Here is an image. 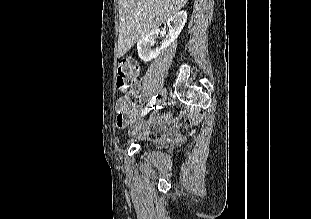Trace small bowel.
<instances>
[{"instance_id":"1","label":"small bowel","mask_w":311,"mask_h":219,"mask_svg":"<svg viewBox=\"0 0 311 219\" xmlns=\"http://www.w3.org/2000/svg\"><path fill=\"white\" fill-rule=\"evenodd\" d=\"M134 91L136 93H139L140 91V84L136 83L134 87ZM139 105L137 103H130L128 105L122 104L120 101L117 103L116 107V125L120 129L126 128L137 116L139 112ZM170 122L167 121V119L163 118H154L150 122V126L154 128V134H165L167 131L166 125L169 124ZM142 127V126H141ZM168 128V127H167ZM149 131L148 129H145V133L147 134Z\"/></svg>"}]
</instances>
